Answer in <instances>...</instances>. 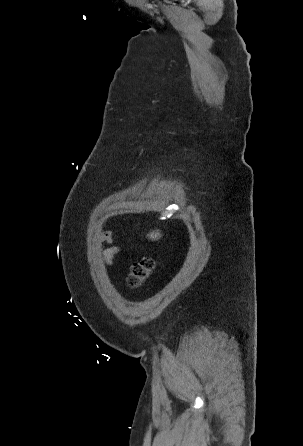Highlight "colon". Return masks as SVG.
Wrapping results in <instances>:
<instances>
[{
    "mask_svg": "<svg viewBox=\"0 0 303 446\" xmlns=\"http://www.w3.org/2000/svg\"><path fill=\"white\" fill-rule=\"evenodd\" d=\"M155 261L146 257L131 266L129 284L132 287L139 286L155 269Z\"/></svg>",
    "mask_w": 303,
    "mask_h": 446,
    "instance_id": "1",
    "label": "colon"
}]
</instances>
